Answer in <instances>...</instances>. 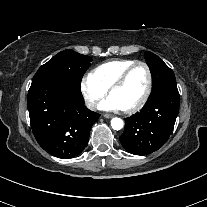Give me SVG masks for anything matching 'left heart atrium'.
Wrapping results in <instances>:
<instances>
[{"label":"left heart atrium","instance_id":"39dd6f15","mask_svg":"<svg viewBox=\"0 0 207 207\" xmlns=\"http://www.w3.org/2000/svg\"><path fill=\"white\" fill-rule=\"evenodd\" d=\"M100 109L107 110V111H114V110H120V107L115 102L114 99H112L111 97H109L108 99H106L105 101H103L100 104Z\"/></svg>","mask_w":207,"mask_h":207}]
</instances>
